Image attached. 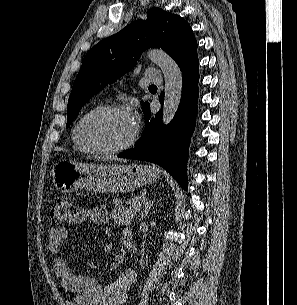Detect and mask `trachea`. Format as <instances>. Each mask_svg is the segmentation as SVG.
<instances>
[{
  "label": "trachea",
  "mask_w": 297,
  "mask_h": 305,
  "mask_svg": "<svg viewBox=\"0 0 297 305\" xmlns=\"http://www.w3.org/2000/svg\"><path fill=\"white\" fill-rule=\"evenodd\" d=\"M150 87H156L155 85H151Z\"/></svg>",
  "instance_id": "1"
}]
</instances>
